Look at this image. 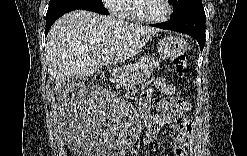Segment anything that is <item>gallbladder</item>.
Instances as JSON below:
<instances>
[{
	"mask_svg": "<svg viewBox=\"0 0 247 156\" xmlns=\"http://www.w3.org/2000/svg\"><path fill=\"white\" fill-rule=\"evenodd\" d=\"M84 82L78 76H72L68 81H66L63 85L64 93L72 90L76 85H82Z\"/></svg>",
	"mask_w": 247,
	"mask_h": 156,
	"instance_id": "gallbladder-1",
	"label": "gallbladder"
}]
</instances>
